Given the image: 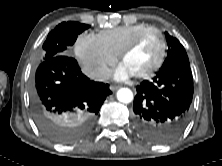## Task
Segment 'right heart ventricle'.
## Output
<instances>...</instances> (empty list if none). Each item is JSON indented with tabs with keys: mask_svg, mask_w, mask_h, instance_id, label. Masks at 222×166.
Here are the masks:
<instances>
[{
	"mask_svg": "<svg viewBox=\"0 0 222 166\" xmlns=\"http://www.w3.org/2000/svg\"><path fill=\"white\" fill-rule=\"evenodd\" d=\"M149 27L147 24H134L100 31L96 38L103 48L113 56L120 51L142 30Z\"/></svg>",
	"mask_w": 222,
	"mask_h": 166,
	"instance_id": "1",
	"label": "right heart ventricle"
}]
</instances>
